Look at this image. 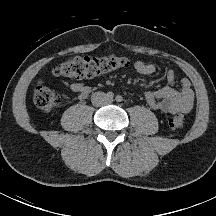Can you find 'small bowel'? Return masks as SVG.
<instances>
[{
  "label": "small bowel",
  "instance_id": "obj_1",
  "mask_svg": "<svg viewBox=\"0 0 216 216\" xmlns=\"http://www.w3.org/2000/svg\"><path fill=\"white\" fill-rule=\"evenodd\" d=\"M135 69L141 75H151L156 72L155 65L137 61ZM167 85L156 90L147 91L144 93V98L147 104L154 110L168 114L188 113L194 106V92L190 81L183 78L180 81V88H174L177 78L172 69L165 73ZM69 90L78 95L80 99H85L91 92V88L82 82L66 83Z\"/></svg>",
  "mask_w": 216,
  "mask_h": 216
}]
</instances>
